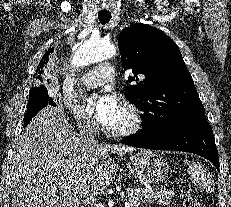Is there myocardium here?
I'll return each mask as SVG.
<instances>
[{"mask_svg": "<svg viewBox=\"0 0 231 207\" xmlns=\"http://www.w3.org/2000/svg\"><path fill=\"white\" fill-rule=\"evenodd\" d=\"M122 106L129 112L131 117V123L128 127L120 129V130H112L103 127V131L106 135L113 138H125L132 136L138 133L143 127V116L139 108L132 102L128 100H124Z\"/></svg>", "mask_w": 231, "mask_h": 207, "instance_id": "1", "label": "myocardium"}]
</instances>
